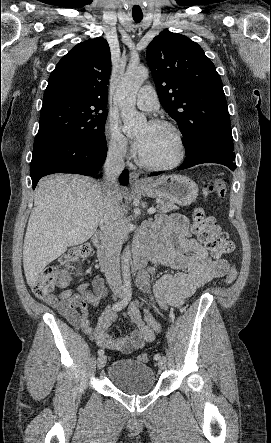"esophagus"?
I'll list each match as a JSON object with an SVG mask.
<instances>
[{
    "label": "esophagus",
    "instance_id": "34e87169",
    "mask_svg": "<svg viewBox=\"0 0 271 443\" xmlns=\"http://www.w3.org/2000/svg\"><path fill=\"white\" fill-rule=\"evenodd\" d=\"M130 183L133 186L146 184V182L140 180L138 172H130Z\"/></svg>",
    "mask_w": 271,
    "mask_h": 443
}]
</instances>
